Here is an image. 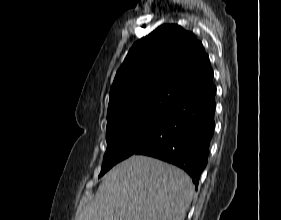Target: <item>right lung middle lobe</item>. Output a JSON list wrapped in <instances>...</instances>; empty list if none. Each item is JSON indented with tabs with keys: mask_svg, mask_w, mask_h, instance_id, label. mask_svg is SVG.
Returning <instances> with one entry per match:
<instances>
[{
	"mask_svg": "<svg viewBox=\"0 0 281 220\" xmlns=\"http://www.w3.org/2000/svg\"><path fill=\"white\" fill-rule=\"evenodd\" d=\"M167 115L164 112L140 113L107 124V150L99 177L116 163L134 154L162 126Z\"/></svg>",
	"mask_w": 281,
	"mask_h": 220,
	"instance_id": "right-lung-middle-lobe-1",
	"label": "right lung middle lobe"
}]
</instances>
